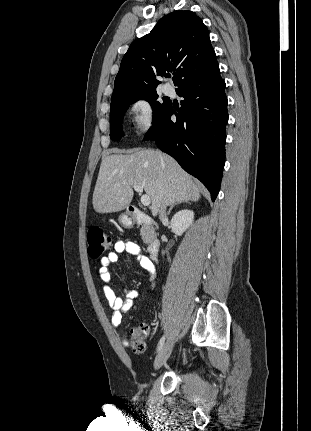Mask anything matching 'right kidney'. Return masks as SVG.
Listing matches in <instances>:
<instances>
[{"mask_svg": "<svg viewBox=\"0 0 311 431\" xmlns=\"http://www.w3.org/2000/svg\"><path fill=\"white\" fill-rule=\"evenodd\" d=\"M193 221L194 212L192 210H181V212H177L171 219L172 231L176 235H182L183 231H186L192 225ZM162 253H165V251H162Z\"/></svg>", "mask_w": 311, "mask_h": 431, "instance_id": "obj_1", "label": "right kidney"}]
</instances>
